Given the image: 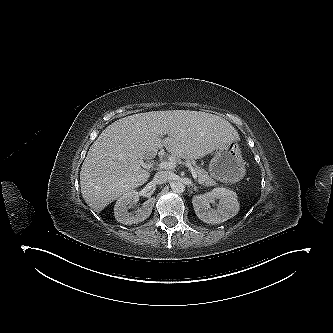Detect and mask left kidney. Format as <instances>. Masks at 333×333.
<instances>
[{
    "instance_id": "5707ae66",
    "label": "left kidney",
    "mask_w": 333,
    "mask_h": 333,
    "mask_svg": "<svg viewBox=\"0 0 333 333\" xmlns=\"http://www.w3.org/2000/svg\"><path fill=\"white\" fill-rule=\"evenodd\" d=\"M214 199H219L217 209L210 207V203ZM192 204L197 217L209 224L227 221L234 217L240 208L237 194L223 187H217L210 192L193 196Z\"/></svg>"
}]
</instances>
